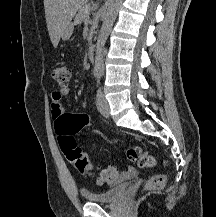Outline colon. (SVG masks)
Wrapping results in <instances>:
<instances>
[{
	"label": "colon",
	"instance_id": "5ec220e1",
	"mask_svg": "<svg viewBox=\"0 0 216 217\" xmlns=\"http://www.w3.org/2000/svg\"><path fill=\"white\" fill-rule=\"evenodd\" d=\"M53 79L62 86L68 85L70 81V69L66 65H55L51 69ZM91 124V118L86 113L68 114L61 118L57 124L59 146L67 161L82 174H92V166L88 156L76 143L74 135L85 126ZM127 157L130 161L137 163L140 168H151L156 165L155 157L138 145L127 149ZM119 177V170L115 166L102 169L98 175L100 184H112ZM165 176L156 174L149 178L145 189L154 191L161 189L165 184Z\"/></svg>",
	"mask_w": 216,
	"mask_h": 217
}]
</instances>
